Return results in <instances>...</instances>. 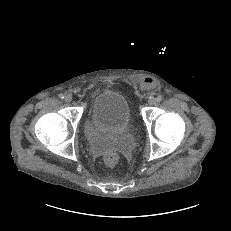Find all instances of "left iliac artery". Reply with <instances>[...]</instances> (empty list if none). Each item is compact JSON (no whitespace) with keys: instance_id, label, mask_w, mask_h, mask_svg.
I'll return each mask as SVG.
<instances>
[{"instance_id":"left-iliac-artery-1","label":"left iliac artery","mask_w":231,"mask_h":231,"mask_svg":"<svg viewBox=\"0 0 231 231\" xmlns=\"http://www.w3.org/2000/svg\"><path fill=\"white\" fill-rule=\"evenodd\" d=\"M156 101H157V102H161V101H162V96H157V97H156Z\"/></svg>"}]
</instances>
